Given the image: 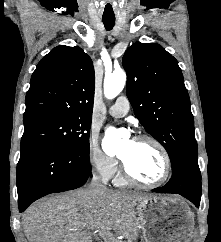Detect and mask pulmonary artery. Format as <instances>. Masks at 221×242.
Returning a JSON list of instances; mask_svg holds the SVG:
<instances>
[{
  "instance_id": "obj_1",
  "label": "pulmonary artery",
  "mask_w": 221,
  "mask_h": 242,
  "mask_svg": "<svg viewBox=\"0 0 221 242\" xmlns=\"http://www.w3.org/2000/svg\"><path fill=\"white\" fill-rule=\"evenodd\" d=\"M129 101L126 96H119L115 103L109 108V114L113 117H122L129 111Z\"/></svg>"
}]
</instances>
